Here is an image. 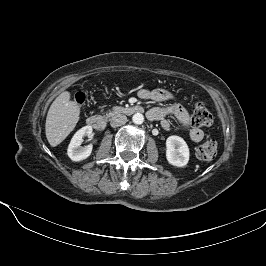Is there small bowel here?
<instances>
[{"label": "small bowel", "instance_id": "obj_1", "mask_svg": "<svg viewBox=\"0 0 266 266\" xmlns=\"http://www.w3.org/2000/svg\"><path fill=\"white\" fill-rule=\"evenodd\" d=\"M137 96L141 99H148L154 102H171L164 107L152 108L147 113L148 118L159 121L163 129L169 130L171 128L169 116L175 117L185 127L190 126V116L187 109L180 102L176 101L170 92L159 88L140 89L137 92ZM189 135L195 142L201 141L204 137L203 131L197 127L190 128Z\"/></svg>", "mask_w": 266, "mask_h": 266}]
</instances>
